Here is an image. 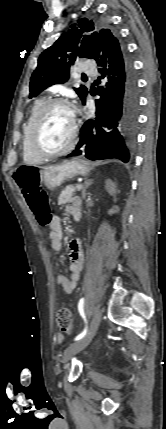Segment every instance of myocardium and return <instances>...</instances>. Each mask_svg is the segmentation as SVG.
Here are the masks:
<instances>
[{
    "label": "myocardium",
    "instance_id": "1",
    "mask_svg": "<svg viewBox=\"0 0 166 429\" xmlns=\"http://www.w3.org/2000/svg\"><path fill=\"white\" fill-rule=\"evenodd\" d=\"M56 105H65L71 110L72 119H73L72 120V128H71L69 141L63 148H61L57 151L47 152L38 146L37 134H38L41 122L43 120V117L52 107H54ZM77 132H78V123H77V119H76V111H75V108L72 105V103L63 97L52 98V99L45 101V103L42 105V107L40 108V110L36 114L32 124H31L30 131H29L28 146H29V149L31 150V152L33 154H35L36 156H38L42 159L55 158V157L61 156L65 153L69 152L73 148V146L75 145V142H76Z\"/></svg>",
    "mask_w": 166,
    "mask_h": 429
}]
</instances>
